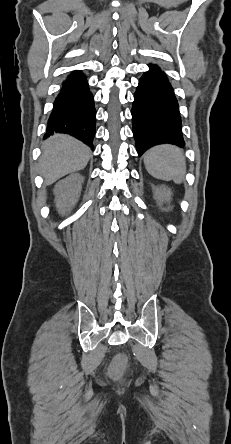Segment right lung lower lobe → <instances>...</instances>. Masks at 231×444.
<instances>
[{"mask_svg":"<svg viewBox=\"0 0 231 444\" xmlns=\"http://www.w3.org/2000/svg\"><path fill=\"white\" fill-rule=\"evenodd\" d=\"M95 115L93 95L86 76L74 71L63 82L54 102L45 137L53 133H67L94 149Z\"/></svg>","mask_w":231,"mask_h":444,"instance_id":"1","label":"right lung lower lobe"}]
</instances>
